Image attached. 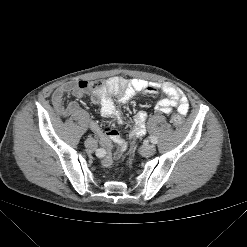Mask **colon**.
<instances>
[{
  "label": "colon",
  "instance_id": "5ec220e1",
  "mask_svg": "<svg viewBox=\"0 0 247 247\" xmlns=\"http://www.w3.org/2000/svg\"><path fill=\"white\" fill-rule=\"evenodd\" d=\"M87 84H88V87L93 90H99L102 88V82L100 80L91 81ZM171 122L175 127H180L183 125L184 119L179 113H175L171 117ZM110 132H111V129L106 130V133H110Z\"/></svg>",
  "mask_w": 247,
  "mask_h": 247
}]
</instances>
